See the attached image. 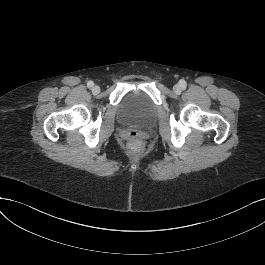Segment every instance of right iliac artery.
<instances>
[{
    "instance_id": "1",
    "label": "right iliac artery",
    "mask_w": 265,
    "mask_h": 265,
    "mask_svg": "<svg viewBox=\"0 0 265 265\" xmlns=\"http://www.w3.org/2000/svg\"><path fill=\"white\" fill-rule=\"evenodd\" d=\"M93 85H94L93 81H88V82H87V86H88L89 88H92Z\"/></svg>"
}]
</instances>
